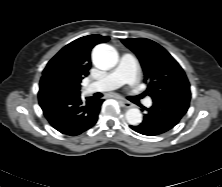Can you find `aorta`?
I'll return each mask as SVG.
<instances>
[{"label":"aorta","instance_id":"obj_1","mask_svg":"<svg viewBox=\"0 0 222 187\" xmlns=\"http://www.w3.org/2000/svg\"><path fill=\"white\" fill-rule=\"evenodd\" d=\"M93 62L100 68L111 69L118 63V53L114 47L108 44H99L93 49ZM126 121L133 126L142 122L141 111L137 108L127 110L125 114Z\"/></svg>","mask_w":222,"mask_h":187}]
</instances>
